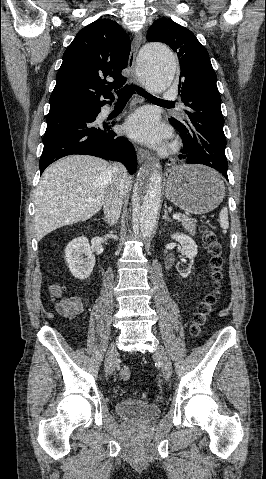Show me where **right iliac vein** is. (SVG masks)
Instances as JSON below:
<instances>
[{"mask_svg": "<svg viewBox=\"0 0 266 479\" xmlns=\"http://www.w3.org/2000/svg\"><path fill=\"white\" fill-rule=\"evenodd\" d=\"M117 356V347L115 343H112L107 351L105 359V373L110 375L115 370V359Z\"/></svg>", "mask_w": 266, "mask_h": 479, "instance_id": "1", "label": "right iliac vein"}]
</instances>
